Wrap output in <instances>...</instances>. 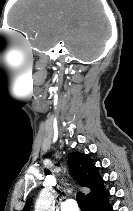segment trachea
<instances>
[{
	"instance_id": "1",
	"label": "trachea",
	"mask_w": 133,
	"mask_h": 211,
	"mask_svg": "<svg viewBox=\"0 0 133 211\" xmlns=\"http://www.w3.org/2000/svg\"><path fill=\"white\" fill-rule=\"evenodd\" d=\"M78 205L81 209H87V202H86V197L85 194L82 192H79L76 196Z\"/></svg>"
}]
</instances>
